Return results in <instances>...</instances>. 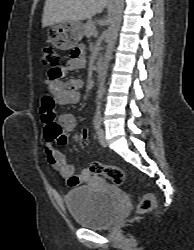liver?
Segmentation results:
<instances>
[{
	"label": "liver",
	"mask_w": 194,
	"mask_h": 250,
	"mask_svg": "<svg viewBox=\"0 0 194 250\" xmlns=\"http://www.w3.org/2000/svg\"><path fill=\"white\" fill-rule=\"evenodd\" d=\"M108 0H46L42 27L63 21H82L101 13Z\"/></svg>",
	"instance_id": "obj_1"
}]
</instances>
